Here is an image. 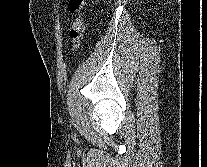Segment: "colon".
Listing matches in <instances>:
<instances>
[{
    "instance_id": "obj_1",
    "label": "colon",
    "mask_w": 207,
    "mask_h": 167,
    "mask_svg": "<svg viewBox=\"0 0 207 167\" xmlns=\"http://www.w3.org/2000/svg\"><path fill=\"white\" fill-rule=\"evenodd\" d=\"M86 0H69L68 8L70 13L74 15L68 28V36L72 43V48L77 51L80 47L82 34L84 31V20L82 17V10Z\"/></svg>"
}]
</instances>
